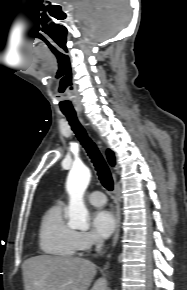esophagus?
Listing matches in <instances>:
<instances>
[{
  "mask_svg": "<svg viewBox=\"0 0 187 290\" xmlns=\"http://www.w3.org/2000/svg\"><path fill=\"white\" fill-rule=\"evenodd\" d=\"M115 194L117 196V192H116V180H115ZM115 218H116V229H115V233H114V237L112 240V246H115V244L117 243L118 239H119V234H120V223H121V216H120V206H119V202H116V213H115ZM108 268V263L105 264L104 269Z\"/></svg>",
  "mask_w": 187,
  "mask_h": 290,
  "instance_id": "34e87169",
  "label": "esophagus"
}]
</instances>
